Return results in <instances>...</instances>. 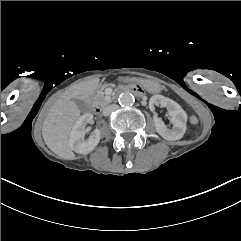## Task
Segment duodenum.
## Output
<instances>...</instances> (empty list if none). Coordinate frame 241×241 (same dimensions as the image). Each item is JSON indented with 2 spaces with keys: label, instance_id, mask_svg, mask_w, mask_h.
Returning a JSON list of instances; mask_svg holds the SVG:
<instances>
[{
  "label": "duodenum",
  "instance_id": "1",
  "mask_svg": "<svg viewBox=\"0 0 241 241\" xmlns=\"http://www.w3.org/2000/svg\"><path fill=\"white\" fill-rule=\"evenodd\" d=\"M119 92H121V93H126V92L127 93H133V94H135L137 96H142L143 95L142 89L139 86H137V85L125 86V87L121 88L119 90ZM94 111H95L96 114H100L101 113V108L100 107H96L94 109Z\"/></svg>",
  "mask_w": 241,
  "mask_h": 241
}]
</instances>
